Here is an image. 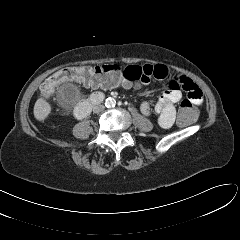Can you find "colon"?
<instances>
[{
  "instance_id": "1",
  "label": "colon",
  "mask_w": 240,
  "mask_h": 240,
  "mask_svg": "<svg viewBox=\"0 0 240 240\" xmlns=\"http://www.w3.org/2000/svg\"><path fill=\"white\" fill-rule=\"evenodd\" d=\"M124 71L118 65L106 64L101 66H69L63 68L41 85V93L44 97H51L55 88L66 81L82 82L88 86H118L126 80ZM197 118V111L194 104L186 99L179 107L178 122L182 125H189Z\"/></svg>"
}]
</instances>
